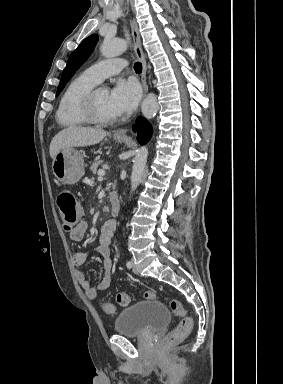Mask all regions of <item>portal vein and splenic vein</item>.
Listing matches in <instances>:
<instances>
[{
  "instance_id": "obj_1",
  "label": "portal vein and splenic vein",
  "mask_w": 283,
  "mask_h": 384,
  "mask_svg": "<svg viewBox=\"0 0 283 384\" xmlns=\"http://www.w3.org/2000/svg\"><path fill=\"white\" fill-rule=\"evenodd\" d=\"M98 176L99 178H102V176H105V170H98Z\"/></svg>"
}]
</instances>
